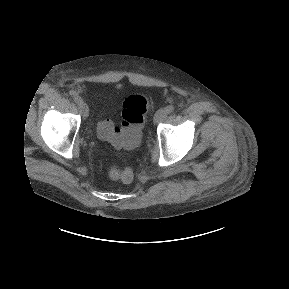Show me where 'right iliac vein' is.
<instances>
[{"label": "right iliac vein", "instance_id": "63e3f726", "mask_svg": "<svg viewBox=\"0 0 289 289\" xmlns=\"http://www.w3.org/2000/svg\"><path fill=\"white\" fill-rule=\"evenodd\" d=\"M79 110L84 118H87L89 115V108L85 102H81L78 104Z\"/></svg>", "mask_w": 289, "mask_h": 289}]
</instances>
